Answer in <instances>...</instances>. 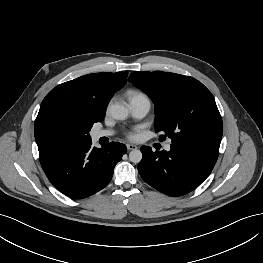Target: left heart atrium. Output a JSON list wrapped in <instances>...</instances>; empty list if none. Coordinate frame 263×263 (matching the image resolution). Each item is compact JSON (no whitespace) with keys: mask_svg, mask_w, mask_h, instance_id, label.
Masks as SVG:
<instances>
[{"mask_svg":"<svg viewBox=\"0 0 263 263\" xmlns=\"http://www.w3.org/2000/svg\"><path fill=\"white\" fill-rule=\"evenodd\" d=\"M130 137H131V138H134V137H135V134L130 133Z\"/></svg>","mask_w":263,"mask_h":263,"instance_id":"1","label":"left heart atrium"}]
</instances>
